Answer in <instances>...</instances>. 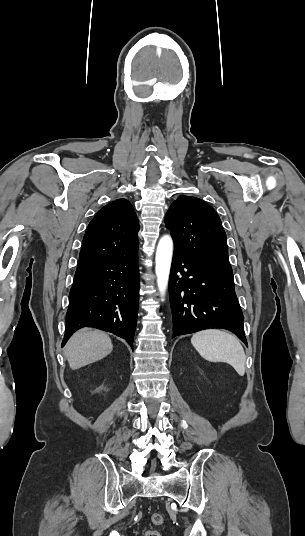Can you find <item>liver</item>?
<instances>
[{
	"instance_id": "liver-1",
	"label": "liver",
	"mask_w": 305,
	"mask_h": 536,
	"mask_svg": "<svg viewBox=\"0 0 305 536\" xmlns=\"http://www.w3.org/2000/svg\"><path fill=\"white\" fill-rule=\"evenodd\" d=\"M64 350L71 370H79L106 358L111 354L113 344L105 332L83 328L73 334Z\"/></svg>"
}]
</instances>
